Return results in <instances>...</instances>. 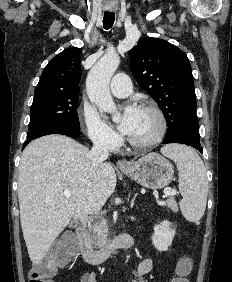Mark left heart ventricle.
I'll return each mask as SVG.
<instances>
[{
	"mask_svg": "<svg viewBox=\"0 0 232 282\" xmlns=\"http://www.w3.org/2000/svg\"><path fill=\"white\" fill-rule=\"evenodd\" d=\"M157 129L158 120L156 116L149 111L141 109L139 119L128 136L136 141H145L153 137Z\"/></svg>",
	"mask_w": 232,
	"mask_h": 282,
	"instance_id": "left-heart-ventricle-1",
	"label": "left heart ventricle"
}]
</instances>
